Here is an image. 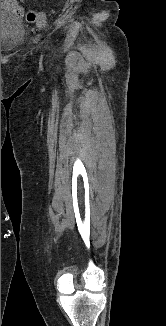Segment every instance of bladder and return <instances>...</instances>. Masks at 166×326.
Segmentation results:
<instances>
[{
    "mask_svg": "<svg viewBox=\"0 0 166 326\" xmlns=\"http://www.w3.org/2000/svg\"><path fill=\"white\" fill-rule=\"evenodd\" d=\"M23 35V20L10 11L1 10V51L15 49Z\"/></svg>",
    "mask_w": 166,
    "mask_h": 326,
    "instance_id": "obj_1",
    "label": "bladder"
}]
</instances>
